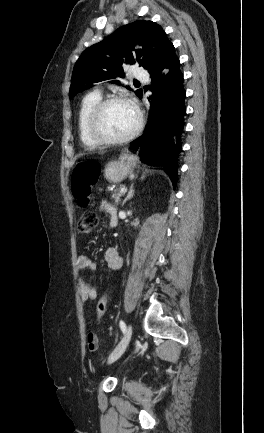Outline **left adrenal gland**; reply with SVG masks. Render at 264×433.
Wrapping results in <instances>:
<instances>
[{
	"label": "left adrenal gland",
	"mask_w": 264,
	"mask_h": 433,
	"mask_svg": "<svg viewBox=\"0 0 264 433\" xmlns=\"http://www.w3.org/2000/svg\"><path fill=\"white\" fill-rule=\"evenodd\" d=\"M133 185H134V184H132V185L130 186L129 192H128L126 198L123 200L121 206H124V204L126 203V201H127V200H130V199L134 196L135 190L133 189Z\"/></svg>",
	"instance_id": "a2214340"
}]
</instances>
